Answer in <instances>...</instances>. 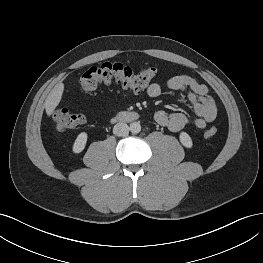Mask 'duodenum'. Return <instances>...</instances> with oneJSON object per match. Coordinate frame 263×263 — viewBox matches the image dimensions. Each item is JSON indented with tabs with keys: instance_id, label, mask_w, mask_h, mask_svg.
I'll use <instances>...</instances> for the list:
<instances>
[{
	"instance_id": "duodenum-1",
	"label": "duodenum",
	"mask_w": 263,
	"mask_h": 263,
	"mask_svg": "<svg viewBox=\"0 0 263 263\" xmlns=\"http://www.w3.org/2000/svg\"><path fill=\"white\" fill-rule=\"evenodd\" d=\"M139 118V115L136 112H124L120 115L113 118L115 122H131Z\"/></svg>"
}]
</instances>
